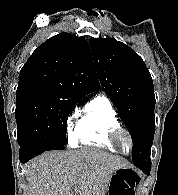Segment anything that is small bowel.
<instances>
[{"mask_svg":"<svg viewBox=\"0 0 178 195\" xmlns=\"http://www.w3.org/2000/svg\"><path fill=\"white\" fill-rule=\"evenodd\" d=\"M118 193H119L118 195H133V193L127 190L126 188H122Z\"/></svg>","mask_w":178,"mask_h":195,"instance_id":"small-bowel-1","label":"small bowel"}]
</instances>
